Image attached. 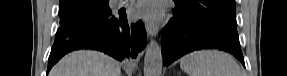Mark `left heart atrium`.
Returning <instances> with one entry per match:
<instances>
[{
    "instance_id": "1",
    "label": "left heart atrium",
    "mask_w": 287,
    "mask_h": 76,
    "mask_svg": "<svg viewBox=\"0 0 287 76\" xmlns=\"http://www.w3.org/2000/svg\"><path fill=\"white\" fill-rule=\"evenodd\" d=\"M134 11L140 17L158 19L163 16L164 3L159 0H144L135 7Z\"/></svg>"
}]
</instances>
